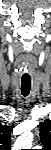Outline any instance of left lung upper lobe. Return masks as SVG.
I'll use <instances>...</instances> for the list:
<instances>
[{
    "label": "left lung upper lobe",
    "mask_w": 51,
    "mask_h": 150,
    "mask_svg": "<svg viewBox=\"0 0 51 150\" xmlns=\"http://www.w3.org/2000/svg\"><path fill=\"white\" fill-rule=\"evenodd\" d=\"M40 139L45 147L49 149L51 147V121L47 120L40 124Z\"/></svg>",
    "instance_id": "1"
}]
</instances>
